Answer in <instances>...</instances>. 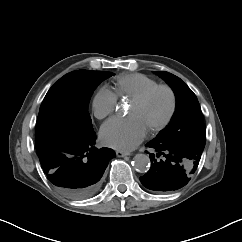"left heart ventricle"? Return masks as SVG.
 Wrapping results in <instances>:
<instances>
[{"label": "left heart ventricle", "instance_id": "b2bd125f", "mask_svg": "<svg viewBox=\"0 0 242 242\" xmlns=\"http://www.w3.org/2000/svg\"><path fill=\"white\" fill-rule=\"evenodd\" d=\"M171 99L167 91H156L142 104L130 102L128 113L138 119L142 126L149 130L162 122L169 113Z\"/></svg>", "mask_w": 242, "mask_h": 242}]
</instances>
